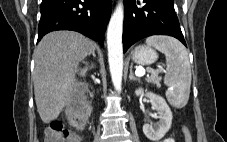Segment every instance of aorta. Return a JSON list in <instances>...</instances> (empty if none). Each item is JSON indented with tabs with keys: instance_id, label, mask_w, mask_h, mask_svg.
<instances>
[{
	"instance_id": "obj_1",
	"label": "aorta",
	"mask_w": 227,
	"mask_h": 142,
	"mask_svg": "<svg viewBox=\"0 0 227 142\" xmlns=\"http://www.w3.org/2000/svg\"><path fill=\"white\" fill-rule=\"evenodd\" d=\"M124 9L120 2L114 10L107 29V47L110 74L117 91L121 90L123 75V31Z\"/></svg>"
}]
</instances>
